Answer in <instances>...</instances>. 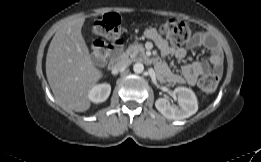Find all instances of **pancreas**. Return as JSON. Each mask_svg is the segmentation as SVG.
Masks as SVG:
<instances>
[{
  "label": "pancreas",
  "mask_w": 261,
  "mask_h": 162,
  "mask_svg": "<svg viewBox=\"0 0 261 162\" xmlns=\"http://www.w3.org/2000/svg\"><path fill=\"white\" fill-rule=\"evenodd\" d=\"M144 47L142 46V44L139 43H133L131 45L128 46L127 50L122 54V57L124 58H128L130 57L131 59H135L136 56L141 53L142 55H144Z\"/></svg>",
  "instance_id": "pancreas-1"
}]
</instances>
